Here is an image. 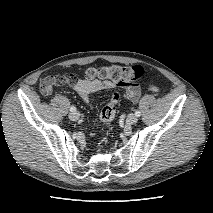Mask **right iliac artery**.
I'll list each match as a JSON object with an SVG mask.
<instances>
[{"instance_id":"82829eb1","label":"right iliac artery","mask_w":213,"mask_h":213,"mask_svg":"<svg viewBox=\"0 0 213 213\" xmlns=\"http://www.w3.org/2000/svg\"><path fill=\"white\" fill-rule=\"evenodd\" d=\"M70 111H71V112H75V111H76V108H75L74 106H71V107H70Z\"/></svg>"}]
</instances>
